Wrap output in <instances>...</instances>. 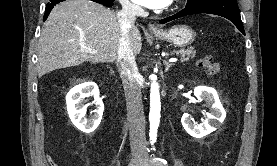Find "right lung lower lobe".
<instances>
[{
  "label": "right lung lower lobe",
  "instance_id": "1",
  "mask_svg": "<svg viewBox=\"0 0 277 166\" xmlns=\"http://www.w3.org/2000/svg\"><path fill=\"white\" fill-rule=\"evenodd\" d=\"M62 1H65V0H49V3H47V7L45 8V14H44L43 20L47 19L48 15L51 12V9L54 7V5H56ZM91 1L103 4V5H106L109 7L112 6L113 2H114V0H91Z\"/></svg>",
  "mask_w": 277,
  "mask_h": 166
}]
</instances>
